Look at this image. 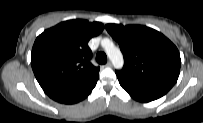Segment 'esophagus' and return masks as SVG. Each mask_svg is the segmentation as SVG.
<instances>
[{"mask_svg": "<svg viewBox=\"0 0 203 123\" xmlns=\"http://www.w3.org/2000/svg\"><path fill=\"white\" fill-rule=\"evenodd\" d=\"M105 66H106V67H111V66H112V63H111V62H107Z\"/></svg>", "mask_w": 203, "mask_h": 123, "instance_id": "1", "label": "esophagus"}]
</instances>
